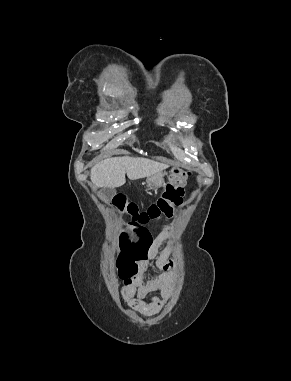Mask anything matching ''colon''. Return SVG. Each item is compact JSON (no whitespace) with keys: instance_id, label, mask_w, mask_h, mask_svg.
Wrapping results in <instances>:
<instances>
[{"instance_id":"1","label":"colon","mask_w":291,"mask_h":381,"mask_svg":"<svg viewBox=\"0 0 291 381\" xmlns=\"http://www.w3.org/2000/svg\"><path fill=\"white\" fill-rule=\"evenodd\" d=\"M189 176L190 172L184 169L173 171L159 199L145 209L140 210L135 203L123 195L114 197L111 204L120 213L126 215L135 226H144L162 217H171L174 209L183 201L184 184ZM117 249L118 263L133 270L135 261L140 257L139 248L131 243L126 234H122L118 239Z\"/></svg>"}]
</instances>
